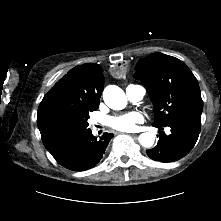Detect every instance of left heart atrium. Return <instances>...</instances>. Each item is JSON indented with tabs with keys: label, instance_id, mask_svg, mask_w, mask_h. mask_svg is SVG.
Wrapping results in <instances>:
<instances>
[{
	"label": "left heart atrium",
	"instance_id": "left-heart-atrium-1",
	"mask_svg": "<svg viewBox=\"0 0 221 221\" xmlns=\"http://www.w3.org/2000/svg\"><path fill=\"white\" fill-rule=\"evenodd\" d=\"M143 121L144 117L140 112L131 111L110 117L108 124L118 131L131 132L134 131L139 124L143 123Z\"/></svg>",
	"mask_w": 221,
	"mask_h": 221
}]
</instances>
